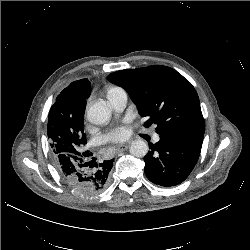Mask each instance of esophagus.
Returning <instances> with one entry per match:
<instances>
[{"label": "esophagus", "mask_w": 250, "mask_h": 250, "mask_svg": "<svg viewBox=\"0 0 250 250\" xmlns=\"http://www.w3.org/2000/svg\"><path fill=\"white\" fill-rule=\"evenodd\" d=\"M128 147H129V144H128V143H126V144H121V145H118V146L116 147V150H117L118 152H121V151H125Z\"/></svg>", "instance_id": "obj_1"}]
</instances>
